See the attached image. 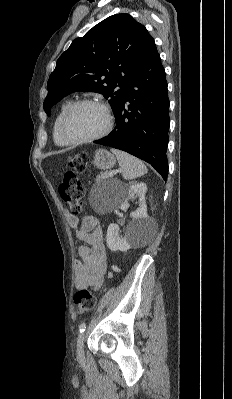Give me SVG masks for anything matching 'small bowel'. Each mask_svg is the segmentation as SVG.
<instances>
[{
	"label": "small bowel",
	"mask_w": 232,
	"mask_h": 399,
	"mask_svg": "<svg viewBox=\"0 0 232 399\" xmlns=\"http://www.w3.org/2000/svg\"><path fill=\"white\" fill-rule=\"evenodd\" d=\"M81 245L78 253L81 261L74 266V286L83 290L88 286L99 290L106 267V255L102 246V227L93 219H85L77 231ZM89 245L90 247H87Z\"/></svg>",
	"instance_id": "obj_1"
}]
</instances>
